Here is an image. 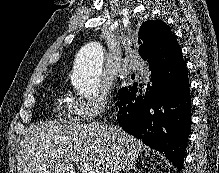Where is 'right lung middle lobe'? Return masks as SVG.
Segmentation results:
<instances>
[{"label": "right lung middle lobe", "instance_id": "1", "mask_svg": "<svg viewBox=\"0 0 219 173\" xmlns=\"http://www.w3.org/2000/svg\"><path fill=\"white\" fill-rule=\"evenodd\" d=\"M125 88H126V87H123L122 89H120V90L118 91V94H119L121 91H123Z\"/></svg>", "mask_w": 219, "mask_h": 173}]
</instances>
